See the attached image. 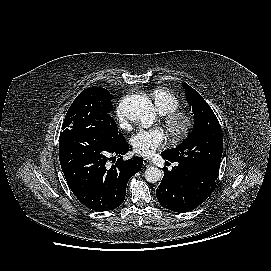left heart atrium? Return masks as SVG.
<instances>
[{"mask_svg": "<svg viewBox=\"0 0 271 271\" xmlns=\"http://www.w3.org/2000/svg\"><path fill=\"white\" fill-rule=\"evenodd\" d=\"M164 143L165 135L160 128L139 131L132 138L134 151L144 157L153 156Z\"/></svg>", "mask_w": 271, "mask_h": 271, "instance_id": "1", "label": "left heart atrium"}]
</instances>
